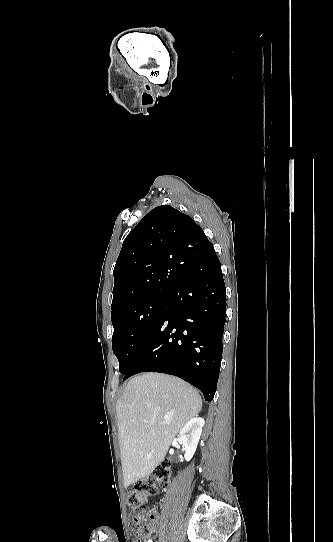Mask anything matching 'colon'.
<instances>
[{
	"label": "colon",
	"mask_w": 333,
	"mask_h": 542,
	"mask_svg": "<svg viewBox=\"0 0 333 542\" xmlns=\"http://www.w3.org/2000/svg\"><path fill=\"white\" fill-rule=\"evenodd\" d=\"M170 466L168 461H163L154 469L153 475L139 479L134 489L129 491L127 503L131 507L130 523L135 528L130 533L132 540H143L144 536L152 533L153 528L148 523L153 521V515L146 512L147 500L168 484Z\"/></svg>",
	"instance_id": "obj_1"
}]
</instances>
